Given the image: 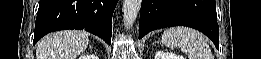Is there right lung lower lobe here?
I'll return each instance as SVG.
<instances>
[{
    "mask_svg": "<svg viewBox=\"0 0 261 59\" xmlns=\"http://www.w3.org/2000/svg\"><path fill=\"white\" fill-rule=\"evenodd\" d=\"M118 0H40L35 22V45L58 30L85 29L111 44L112 15Z\"/></svg>",
    "mask_w": 261,
    "mask_h": 59,
    "instance_id": "1",
    "label": "right lung lower lobe"
}]
</instances>
